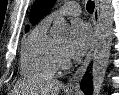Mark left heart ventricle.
<instances>
[{
    "mask_svg": "<svg viewBox=\"0 0 119 95\" xmlns=\"http://www.w3.org/2000/svg\"><path fill=\"white\" fill-rule=\"evenodd\" d=\"M57 44H58L61 48H63L64 45H65V41H59Z\"/></svg>",
    "mask_w": 119,
    "mask_h": 95,
    "instance_id": "left-heart-ventricle-1",
    "label": "left heart ventricle"
}]
</instances>
